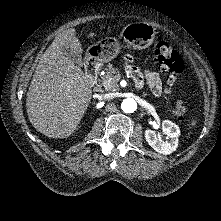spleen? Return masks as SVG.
<instances>
[{"label": "spleen", "instance_id": "spleen-1", "mask_svg": "<svg viewBox=\"0 0 221 221\" xmlns=\"http://www.w3.org/2000/svg\"><path fill=\"white\" fill-rule=\"evenodd\" d=\"M195 124H196V119L192 120L191 125H192V126H195Z\"/></svg>", "mask_w": 221, "mask_h": 221}]
</instances>
